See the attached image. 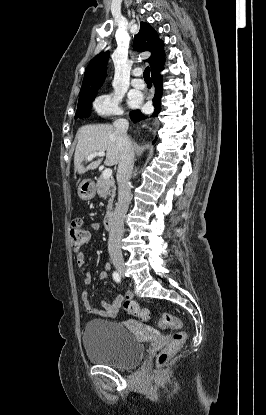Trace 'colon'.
I'll return each mask as SVG.
<instances>
[{
	"instance_id": "5ec220e1",
	"label": "colon",
	"mask_w": 266,
	"mask_h": 415,
	"mask_svg": "<svg viewBox=\"0 0 266 415\" xmlns=\"http://www.w3.org/2000/svg\"><path fill=\"white\" fill-rule=\"evenodd\" d=\"M70 243L75 251H79L89 240L90 232L81 219H76L70 227ZM126 311L143 321L150 318V312L146 308H141L135 301L126 299L124 302ZM158 326L163 330L175 331L170 342L161 350L157 356L159 365L165 364L170 357L178 352L186 341V332L183 330V322L169 314L163 313L158 321Z\"/></svg>"
}]
</instances>
